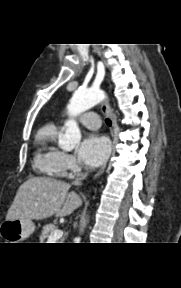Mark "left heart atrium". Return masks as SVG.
Masks as SVG:
<instances>
[{
    "mask_svg": "<svg viewBox=\"0 0 181 288\" xmlns=\"http://www.w3.org/2000/svg\"><path fill=\"white\" fill-rule=\"evenodd\" d=\"M110 153V143L104 136L92 133L87 135L78 149L79 159L90 167L101 165Z\"/></svg>",
    "mask_w": 181,
    "mask_h": 288,
    "instance_id": "39dd6f15",
    "label": "left heart atrium"
}]
</instances>
